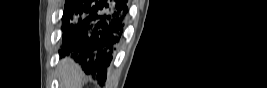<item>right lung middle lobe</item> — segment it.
Segmentation results:
<instances>
[{
  "mask_svg": "<svg viewBox=\"0 0 267 88\" xmlns=\"http://www.w3.org/2000/svg\"><path fill=\"white\" fill-rule=\"evenodd\" d=\"M71 4H72L71 1H70V0H67V1H66V4H65V7H66V6H70Z\"/></svg>",
  "mask_w": 267,
  "mask_h": 88,
  "instance_id": "1",
  "label": "right lung middle lobe"
}]
</instances>
